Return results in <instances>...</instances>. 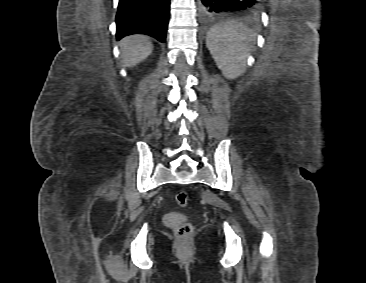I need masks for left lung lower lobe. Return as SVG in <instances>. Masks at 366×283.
<instances>
[{"label": "left lung lower lobe", "instance_id": "0a47b994", "mask_svg": "<svg viewBox=\"0 0 366 283\" xmlns=\"http://www.w3.org/2000/svg\"><path fill=\"white\" fill-rule=\"evenodd\" d=\"M201 11L207 16L228 15L239 11H252L260 8V0H200Z\"/></svg>", "mask_w": 366, "mask_h": 283}]
</instances>
